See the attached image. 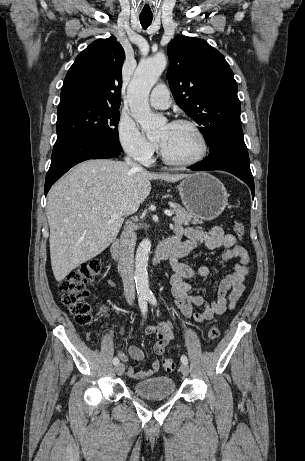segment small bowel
<instances>
[{
	"label": "small bowel",
	"mask_w": 305,
	"mask_h": 461,
	"mask_svg": "<svg viewBox=\"0 0 305 461\" xmlns=\"http://www.w3.org/2000/svg\"><path fill=\"white\" fill-rule=\"evenodd\" d=\"M185 235L187 241L181 243L171 253L170 264L174 274L170 280L169 292L174 297V305L180 310L183 316L197 323H206L211 321L214 316L221 315L227 310H232L237 305L240 297L246 290L245 278L249 273L250 257L247 250L241 246L235 236L226 234L219 226H214L209 230L197 229L193 227L184 228L181 225L175 226V236L179 238ZM204 246L210 250L224 248L225 251L219 261L220 264L237 259L233 265V270L227 274L213 289L215 298L206 302L201 296L191 293V279L196 277H207L210 274L209 266H201L194 269L189 265L181 262V259L188 256L198 247ZM203 305L201 311H195L196 306ZM101 312L108 316V308L102 307ZM123 333V327L121 329ZM149 334L154 335L155 344L154 352L156 355H163L166 347L173 340V327L171 323L160 322L147 328ZM128 354L118 350L117 354L122 361H142L145 353L135 345L127 348ZM161 363L158 359L151 362V368L147 371L138 372L130 367L127 371L128 376L133 379H142L151 377L160 370Z\"/></svg>",
	"instance_id": "1"
}]
</instances>
